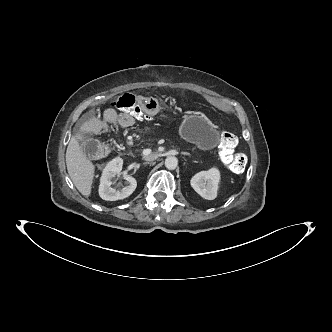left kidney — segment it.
Instances as JSON below:
<instances>
[{
	"instance_id": "left-kidney-1",
	"label": "left kidney",
	"mask_w": 332,
	"mask_h": 332,
	"mask_svg": "<svg viewBox=\"0 0 332 332\" xmlns=\"http://www.w3.org/2000/svg\"><path fill=\"white\" fill-rule=\"evenodd\" d=\"M220 172L216 168L201 171L191 179L192 188L204 199L213 200L217 196Z\"/></svg>"
}]
</instances>
